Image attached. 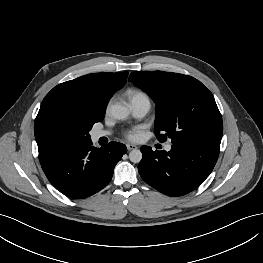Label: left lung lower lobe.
I'll use <instances>...</instances> for the list:
<instances>
[{
	"instance_id": "obj_1",
	"label": "left lung lower lobe",
	"mask_w": 263,
	"mask_h": 263,
	"mask_svg": "<svg viewBox=\"0 0 263 263\" xmlns=\"http://www.w3.org/2000/svg\"><path fill=\"white\" fill-rule=\"evenodd\" d=\"M220 143H176L170 151L142 146L138 171L151 187L169 196H182L197 188L213 170Z\"/></svg>"
}]
</instances>
